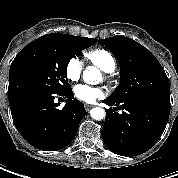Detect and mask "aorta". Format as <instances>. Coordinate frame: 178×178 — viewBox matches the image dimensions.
I'll use <instances>...</instances> for the list:
<instances>
[{"label":"aorta","instance_id":"1","mask_svg":"<svg viewBox=\"0 0 178 178\" xmlns=\"http://www.w3.org/2000/svg\"><path fill=\"white\" fill-rule=\"evenodd\" d=\"M100 74L96 67L88 66L83 72V79L86 83H94V79H99ZM90 115L95 120H101L105 117V110L100 107H95L90 110Z\"/></svg>","mask_w":178,"mask_h":178}]
</instances>
